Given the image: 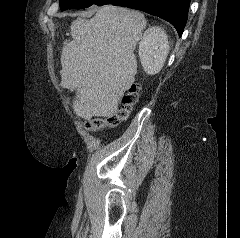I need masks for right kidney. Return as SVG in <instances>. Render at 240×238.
I'll return each mask as SVG.
<instances>
[{
  "mask_svg": "<svg viewBox=\"0 0 240 238\" xmlns=\"http://www.w3.org/2000/svg\"><path fill=\"white\" fill-rule=\"evenodd\" d=\"M169 43L166 32L160 27L148 28L139 43V57L149 75L157 74L166 60Z\"/></svg>",
  "mask_w": 240,
  "mask_h": 238,
  "instance_id": "1",
  "label": "right kidney"
}]
</instances>
